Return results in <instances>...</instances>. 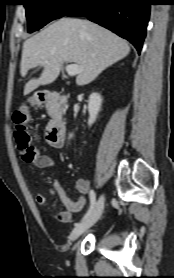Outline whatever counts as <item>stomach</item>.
<instances>
[{
  "mask_svg": "<svg viewBox=\"0 0 174 278\" xmlns=\"http://www.w3.org/2000/svg\"><path fill=\"white\" fill-rule=\"evenodd\" d=\"M30 102H31L32 105H37L38 104L37 100L34 97L31 98Z\"/></svg>",
  "mask_w": 174,
  "mask_h": 278,
  "instance_id": "obj_1",
  "label": "stomach"
}]
</instances>
